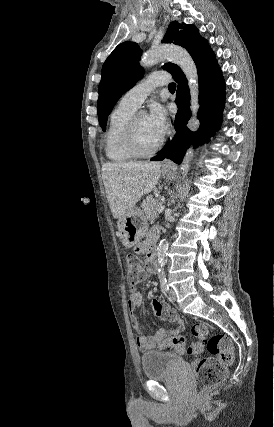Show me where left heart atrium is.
<instances>
[{
  "label": "left heart atrium",
  "mask_w": 274,
  "mask_h": 427,
  "mask_svg": "<svg viewBox=\"0 0 274 427\" xmlns=\"http://www.w3.org/2000/svg\"><path fill=\"white\" fill-rule=\"evenodd\" d=\"M148 123L155 134L163 137L168 127L167 112L161 105H154L147 114Z\"/></svg>",
  "instance_id": "39dd6f15"
}]
</instances>
